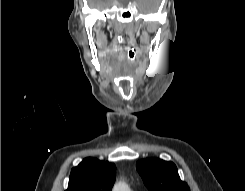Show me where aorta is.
Wrapping results in <instances>:
<instances>
[{
  "label": "aorta",
  "mask_w": 245,
  "mask_h": 191,
  "mask_svg": "<svg viewBox=\"0 0 245 191\" xmlns=\"http://www.w3.org/2000/svg\"><path fill=\"white\" fill-rule=\"evenodd\" d=\"M113 191H130V189L125 182L120 181L114 185Z\"/></svg>",
  "instance_id": "762f6f07"
}]
</instances>
